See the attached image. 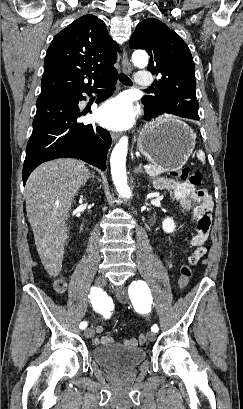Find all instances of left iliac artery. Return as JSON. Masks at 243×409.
I'll list each match as a JSON object with an SVG mask.
<instances>
[{"label":"left iliac artery","instance_id":"left-iliac-artery-1","mask_svg":"<svg viewBox=\"0 0 243 409\" xmlns=\"http://www.w3.org/2000/svg\"><path fill=\"white\" fill-rule=\"evenodd\" d=\"M148 290L149 288L144 281L132 282V284L129 287V297L135 307H136L137 302L142 300L144 296L149 298ZM151 330L153 332H157L159 328L157 325H153L151 327Z\"/></svg>","mask_w":243,"mask_h":409}]
</instances>
